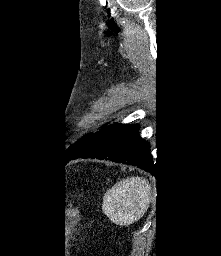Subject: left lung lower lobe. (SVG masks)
I'll return each mask as SVG.
<instances>
[{
  "instance_id": "0a47b994",
  "label": "left lung lower lobe",
  "mask_w": 221,
  "mask_h": 256,
  "mask_svg": "<svg viewBox=\"0 0 221 256\" xmlns=\"http://www.w3.org/2000/svg\"><path fill=\"white\" fill-rule=\"evenodd\" d=\"M77 158L112 160L155 172L149 143L140 138L137 125L102 127L88 137L69 160Z\"/></svg>"
}]
</instances>
